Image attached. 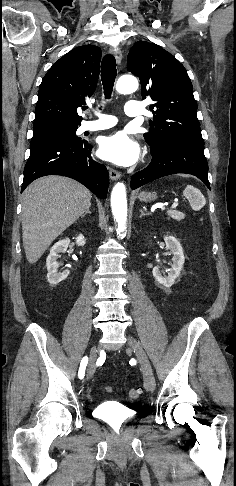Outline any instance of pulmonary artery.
Masks as SVG:
<instances>
[{
	"label": "pulmonary artery",
	"mask_w": 236,
	"mask_h": 486,
	"mask_svg": "<svg viewBox=\"0 0 236 486\" xmlns=\"http://www.w3.org/2000/svg\"><path fill=\"white\" fill-rule=\"evenodd\" d=\"M97 116L96 120L83 121L79 127V132H93L113 127L117 123V119L114 116L102 114L97 111H93ZM125 113L130 117H136L143 114V108L140 102L130 100L125 105Z\"/></svg>",
	"instance_id": "pulmonary-artery-1"
}]
</instances>
